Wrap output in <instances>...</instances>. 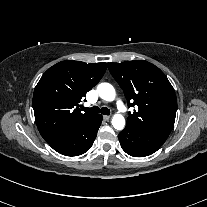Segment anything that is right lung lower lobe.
<instances>
[{
    "label": "right lung lower lobe",
    "instance_id": "1",
    "mask_svg": "<svg viewBox=\"0 0 207 207\" xmlns=\"http://www.w3.org/2000/svg\"><path fill=\"white\" fill-rule=\"evenodd\" d=\"M101 122L102 115L98 114L84 123L71 127L61 137L49 144L62 155L84 154L92 146Z\"/></svg>",
    "mask_w": 207,
    "mask_h": 207
}]
</instances>
